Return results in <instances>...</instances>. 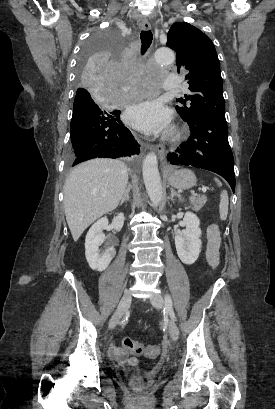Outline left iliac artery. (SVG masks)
Returning <instances> with one entry per match:
<instances>
[{"label":"left iliac artery","instance_id":"obj_1","mask_svg":"<svg viewBox=\"0 0 275 409\" xmlns=\"http://www.w3.org/2000/svg\"><path fill=\"white\" fill-rule=\"evenodd\" d=\"M167 313H169L170 317L172 320L176 321V316L173 310V304H172V299L170 297V295H166L165 296V308Z\"/></svg>","mask_w":275,"mask_h":409}]
</instances>
